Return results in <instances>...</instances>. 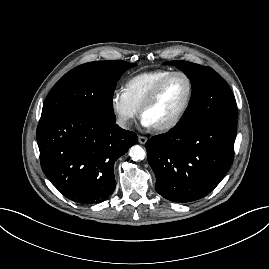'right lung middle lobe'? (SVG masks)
Here are the masks:
<instances>
[{
    "mask_svg": "<svg viewBox=\"0 0 269 269\" xmlns=\"http://www.w3.org/2000/svg\"><path fill=\"white\" fill-rule=\"evenodd\" d=\"M135 66L114 60L85 63L72 69L51 89L41 115L70 112L105 123L115 122L112 98L116 83L126 70Z\"/></svg>",
    "mask_w": 269,
    "mask_h": 269,
    "instance_id": "right-lung-middle-lobe-1",
    "label": "right lung middle lobe"
}]
</instances>
